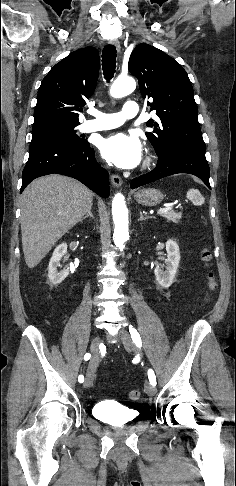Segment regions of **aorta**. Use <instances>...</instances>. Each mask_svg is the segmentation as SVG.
Returning <instances> with one entry per match:
<instances>
[{
    "instance_id": "aorta-1",
    "label": "aorta",
    "mask_w": 236,
    "mask_h": 486,
    "mask_svg": "<svg viewBox=\"0 0 236 486\" xmlns=\"http://www.w3.org/2000/svg\"><path fill=\"white\" fill-rule=\"evenodd\" d=\"M136 88V82L131 77L118 78L110 89V95L114 98H121L132 93ZM112 215L114 221L113 239L115 245L123 250L125 242L129 239L128 232V210L124 196L117 193L112 201Z\"/></svg>"
}]
</instances>
